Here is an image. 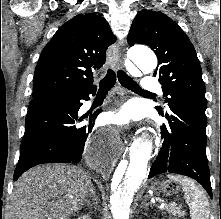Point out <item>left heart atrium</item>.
<instances>
[{
  "instance_id": "1",
  "label": "left heart atrium",
  "mask_w": 221,
  "mask_h": 219,
  "mask_svg": "<svg viewBox=\"0 0 221 219\" xmlns=\"http://www.w3.org/2000/svg\"><path fill=\"white\" fill-rule=\"evenodd\" d=\"M131 116V111L127 107H122L109 113V122L122 126L129 122Z\"/></svg>"
}]
</instances>
